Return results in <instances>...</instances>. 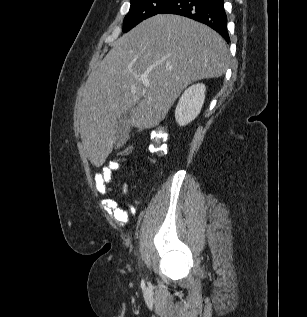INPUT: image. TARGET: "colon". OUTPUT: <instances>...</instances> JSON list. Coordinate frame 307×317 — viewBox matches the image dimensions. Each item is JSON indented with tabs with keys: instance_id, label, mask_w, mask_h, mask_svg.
<instances>
[{
	"instance_id": "1",
	"label": "colon",
	"mask_w": 307,
	"mask_h": 317,
	"mask_svg": "<svg viewBox=\"0 0 307 317\" xmlns=\"http://www.w3.org/2000/svg\"><path fill=\"white\" fill-rule=\"evenodd\" d=\"M168 127L160 123L151 133L150 155L155 157L164 156L167 153ZM133 151L132 145H127L119 150V154L128 155Z\"/></svg>"
}]
</instances>
